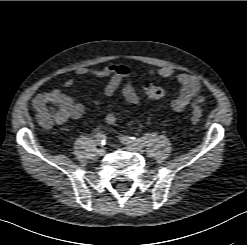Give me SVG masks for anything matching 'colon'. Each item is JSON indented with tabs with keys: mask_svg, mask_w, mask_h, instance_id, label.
I'll use <instances>...</instances> for the list:
<instances>
[{
	"mask_svg": "<svg viewBox=\"0 0 247 245\" xmlns=\"http://www.w3.org/2000/svg\"><path fill=\"white\" fill-rule=\"evenodd\" d=\"M143 93L150 99H161L165 96V90L150 82L141 87ZM39 122L44 126L53 123L65 122L71 111V104L63 95L59 93L49 92L42 95L35 104ZM202 118V111L199 105L193 107L191 119L194 124L198 123ZM106 122L110 126L117 123V114L113 110H109L106 114Z\"/></svg>",
	"mask_w": 247,
	"mask_h": 245,
	"instance_id": "obj_1",
	"label": "colon"
}]
</instances>
